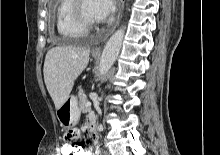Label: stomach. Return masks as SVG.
<instances>
[{
    "label": "stomach",
    "mask_w": 220,
    "mask_h": 155,
    "mask_svg": "<svg viewBox=\"0 0 220 155\" xmlns=\"http://www.w3.org/2000/svg\"><path fill=\"white\" fill-rule=\"evenodd\" d=\"M56 115L62 126H75L80 118V110L76 97H68L56 111Z\"/></svg>",
    "instance_id": "stomach-1"
}]
</instances>
